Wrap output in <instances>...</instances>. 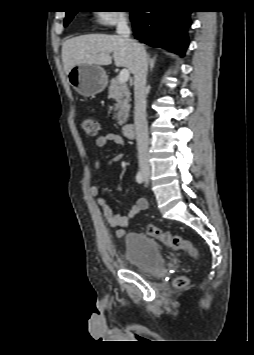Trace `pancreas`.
Listing matches in <instances>:
<instances>
[{
	"label": "pancreas",
	"mask_w": 254,
	"mask_h": 355,
	"mask_svg": "<svg viewBox=\"0 0 254 355\" xmlns=\"http://www.w3.org/2000/svg\"><path fill=\"white\" fill-rule=\"evenodd\" d=\"M109 98L115 101V107L118 110L116 114L117 123L123 125L126 123L130 110V92L125 83H120L115 77L110 81L108 88Z\"/></svg>",
	"instance_id": "obj_1"
}]
</instances>
